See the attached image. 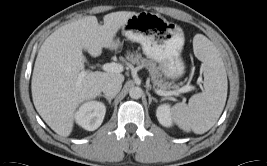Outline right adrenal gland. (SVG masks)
Masks as SVG:
<instances>
[{
	"label": "right adrenal gland",
	"instance_id": "2a0ac1e0",
	"mask_svg": "<svg viewBox=\"0 0 267 166\" xmlns=\"http://www.w3.org/2000/svg\"><path fill=\"white\" fill-rule=\"evenodd\" d=\"M101 96L104 97L108 101L109 104H111V101L114 98V96H105V95H101Z\"/></svg>",
	"mask_w": 267,
	"mask_h": 166
}]
</instances>
